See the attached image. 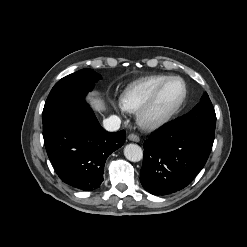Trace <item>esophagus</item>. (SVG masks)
<instances>
[{
    "label": "esophagus",
    "mask_w": 247,
    "mask_h": 247,
    "mask_svg": "<svg viewBox=\"0 0 247 247\" xmlns=\"http://www.w3.org/2000/svg\"><path fill=\"white\" fill-rule=\"evenodd\" d=\"M128 139L130 141H133V142H139L140 141L139 136H137L136 134H133V133L129 134Z\"/></svg>",
    "instance_id": "1"
}]
</instances>
